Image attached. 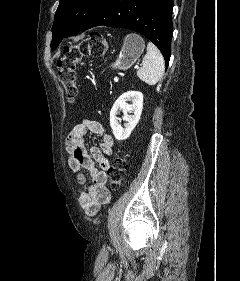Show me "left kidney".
I'll list each match as a JSON object with an SVG mask.
<instances>
[{
  "label": "left kidney",
  "instance_id": "1",
  "mask_svg": "<svg viewBox=\"0 0 240 281\" xmlns=\"http://www.w3.org/2000/svg\"><path fill=\"white\" fill-rule=\"evenodd\" d=\"M130 101L131 104H128ZM143 109V94L138 91H128L123 93L114 103L110 111V126L114 137L121 141L127 139L135 126L138 124ZM122 111L123 120L126 121L124 127L121 126V119L116 115ZM131 112L133 115H128Z\"/></svg>",
  "mask_w": 240,
  "mask_h": 281
}]
</instances>
